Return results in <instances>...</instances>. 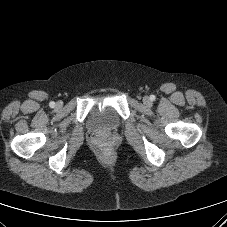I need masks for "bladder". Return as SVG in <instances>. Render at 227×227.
Here are the masks:
<instances>
[{
  "label": "bladder",
  "instance_id": "1",
  "mask_svg": "<svg viewBox=\"0 0 227 227\" xmlns=\"http://www.w3.org/2000/svg\"><path fill=\"white\" fill-rule=\"evenodd\" d=\"M121 120L117 112L110 106H96L87 117L88 128L96 133H110L117 130Z\"/></svg>",
  "mask_w": 227,
  "mask_h": 227
}]
</instances>
